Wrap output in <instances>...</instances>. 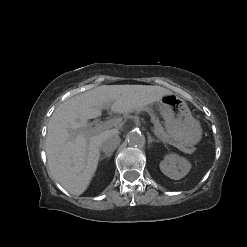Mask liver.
<instances>
[{
  "label": "liver",
  "instance_id": "6515ba94",
  "mask_svg": "<svg viewBox=\"0 0 247 247\" xmlns=\"http://www.w3.org/2000/svg\"><path fill=\"white\" fill-rule=\"evenodd\" d=\"M171 91L152 85H101L59 105L48 123L45 143L49 173L70 194L81 195L97 169L100 145L113 128L100 133L84 131L89 119L104 108L128 113L158 102Z\"/></svg>",
  "mask_w": 247,
  "mask_h": 247
}]
</instances>
